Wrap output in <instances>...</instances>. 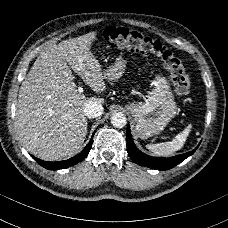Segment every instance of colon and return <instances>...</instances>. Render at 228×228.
<instances>
[{
    "label": "colon",
    "mask_w": 228,
    "mask_h": 228,
    "mask_svg": "<svg viewBox=\"0 0 228 228\" xmlns=\"http://www.w3.org/2000/svg\"><path fill=\"white\" fill-rule=\"evenodd\" d=\"M103 40L111 47H132L146 55L159 58L168 70L175 94L187 96L191 91L188 73L180 58L158 40L137 30L108 27L103 30Z\"/></svg>",
    "instance_id": "1"
}]
</instances>
